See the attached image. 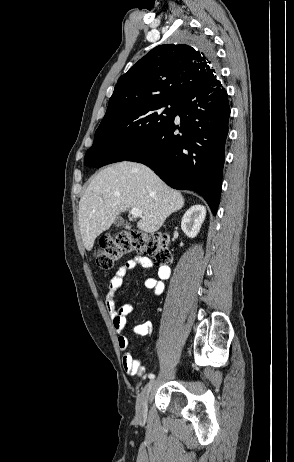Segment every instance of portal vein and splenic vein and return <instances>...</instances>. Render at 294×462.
Here are the masks:
<instances>
[{
  "instance_id": "18ae733b",
  "label": "portal vein and splenic vein",
  "mask_w": 294,
  "mask_h": 462,
  "mask_svg": "<svg viewBox=\"0 0 294 462\" xmlns=\"http://www.w3.org/2000/svg\"><path fill=\"white\" fill-rule=\"evenodd\" d=\"M130 213L132 214L133 217L138 218L142 216V211L137 209V208H132Z\"/></svg>"
}]
</instances>
